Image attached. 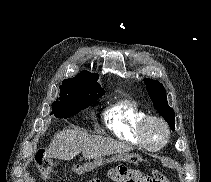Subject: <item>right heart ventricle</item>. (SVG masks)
<instances>
[{
	"label": "right heart ventricle",
	"instance_id": "1",
	"mask_svg": "<svg viewBox=\"0 0 211 182\" xmlns=\"http://www.w3.org/2000/svg\"><path fill=\"white\" fill-rule=\"evenodd\" d=\"M147 113L130 98H123L110 105L103 119L114 136L135 146H142L137 129Z\"/></svg>",
	"mask_w": 211,
	"mask_h": 182
}]
</instances>
